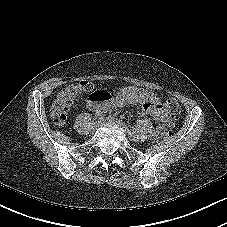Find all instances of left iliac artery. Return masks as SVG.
<instances>
[{
	"instance_id": "1",
	"label": "left iliac artery",
	"mask_w": 227,
	"mask_h": 227,
	"mask_svg": "<svg viewBox=\"0 0 227 227\" xmlns=\"http://www.w3.org/2000/svg\"><path fill=\"white\" fill-rule=\"evenodd\" d=\"M132 133H133V136L134 137H137L138 136V130H133Z\"/></svg>"
}]
</instances>
